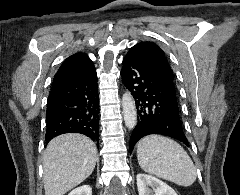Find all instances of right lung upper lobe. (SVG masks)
Returning a JSON list of instances; mask_svg holds the SVG:
<instances>
[{
  "instance_id": "1",
  "label": "right lung upper lobe",
  "mask_w": 240,
  "mask_h": 195,
  "mask_svg": "<svg viewBox=\"0 0 240 195\" xmlns=\"http://www.w3.org/2000/svg\"><path fill=\"white\" fill-rule=\"evenodd\" d=\"M95 70L93 62L84 53H76L67 58L53 81L77 80L86 77Z\"/></svg>"
}]
</instances>
